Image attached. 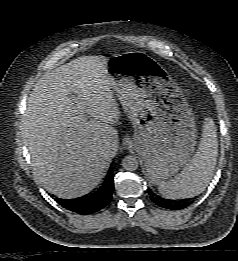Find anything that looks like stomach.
I'll return each instance as SVG.
<instances>
[{
	"label": "stomach",
	"instance_id": "stomach-1",
	"mask_svg": "<svg viewBox=\"0 0 238 261\" xmlns=\"http://www.w3.org/2000/svg\"><path fill=\"white\" fill-rule=\"evenodd\" d=\"M112 87L134 127L130 146L160 185L189 160L197 142L194 116L181 88L144 54L115 55L107 63Z\"/></svg>",
	"mask_w": 238,
	"mask_h": 261
}]
</instances>
